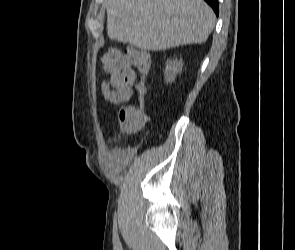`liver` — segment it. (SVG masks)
<instances>
[{
  "label": "liver",
  "instance_id": "obj_1",
  "mask_svg": "<svg viewBox=\"0 0 295 250\" xmlns=\"http://www.w3.org/2000/svg\"><path fill=\"white\" fill-rule=\"evenodd\" d=\"M107 34L149 51L205 43L215 14L203 0H106Z\"/></svg>",
  "mask_w": 295,
  "mask_h": 250
}]
</instances>
